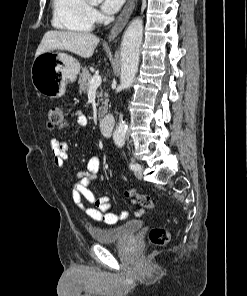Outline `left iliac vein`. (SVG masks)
Listing matches in <instances>:
<instances>
[{
	"instance_id": "obj_1",
	"label": "left iliac vein",
	"mask_w": 247,
	"mask_h": 296,
	"mask_svg": "<svg viewBox=\"0 0 247 296\" xmlns=\"http://www.w3.org/2000/svg\"><path fill=\"white\" fill-rule=\"evenodd\" d=\"M135 176L138 179H142V167L141 166H140V168L138 170H136Z\"/></svg>"
}]
</instances>
